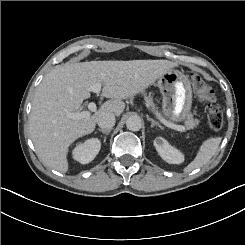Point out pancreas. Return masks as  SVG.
<instances>
[{
	"label": "pancreas",
	"mask_w": 245,
	"mask_h": 245,
	"mask_svg": "<svg viewBox=\"0 0 245 245\" xmlns=\"http://www.w3.org/2000/svg\"><path fill=\"white\" fill-rule=\"evenodd\" d=\"M144 100H145V104L147 106H149L153 112L157 113L161 116L160 113H158L157 107L155 106L154 102H153V98L151 95L148 96H144ZM199 124V120L198 119H193L192 115H187L186 121H185V126L187 129H193L196 125Z\"/></svg>",
	"instance_id": "pancreas-1"
}]
</instances>
